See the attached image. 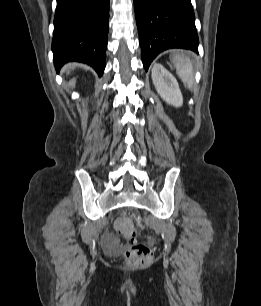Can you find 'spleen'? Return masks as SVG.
<instances>
[{
    "label": "spleen",
    "mask_w": 261,
    "mask_h": 306,
    "mask_svg": "<svg viewBox=\"0 0 261 306\" xmlns=\"http://www.w3.org/2000/svg\"><path fill=\"white\" fill-rule=\"evenodd\" d=\"M173 62L183 83L187 84L189 88H192L194 82V71L190 58L184 55H176Z\"/></svg>",
    "instance_id": "spleen-1"
}]
</instances>
